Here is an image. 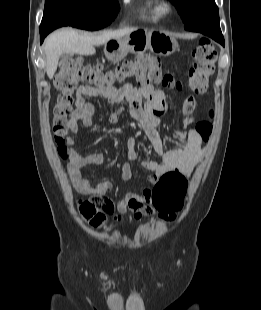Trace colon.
<instances>
[{
	"instance_id": "5ec220e1",
	"label": "colon",
	"mask_w": 261,
	"mask_h": 310,
	"mask_svg": "<svg viewBox=\"0 0 261 310\" xmlns=\"http://www.w3.org/2000/svg\"><path fill=\"white\" fill-rule=\"evenodd\" d=\"M216 61V51L207 39H201L192 51V65L188 70L186 86L196 94L207 90L208 79L212 74ZM134 77L140 83H161L170 89H181L184 83L170 72H163L158 58L143 55L127 61L115 70H105L97 65L85 63L82 58L69 57L61 61L55 76V86L59 91L54 108L53 132L58 151L62 158L68 156L64 145V136L72 112V91L79 81L104 87L116 81ZM213 115V112H210ZM197 132L208 139L212 132L209 121H201L196 125ZM188 183L183 174L177 171L165 173L152 192V204L162 212L160 217L172 221L176 213L184 206ZM80 215L94 227L102 225L114 210L113 202L105 195L95 194L81 200L78 205Z\"/></svg>"
}]
</instances>
